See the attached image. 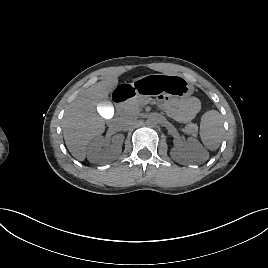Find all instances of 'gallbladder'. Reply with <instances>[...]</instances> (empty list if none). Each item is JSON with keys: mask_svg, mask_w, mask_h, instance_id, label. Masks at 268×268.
Masks as SVG:
<instances>
[{"mask_svg": "<svg viewBox=\"0 0 268 268\" xmlns=\"http://www.w3.org/2000/svg\"><path fill=\"white\" fill-rule=\"evenodd\" d=\"M97 109L102 118L111 119L115 115V109L108 100H103L99 102Z\"/></svg>", "mask_w": 268, "mask_h": 268, "instance_id": "bac80fb5", "label": "gallbladder"}]
</instances>
